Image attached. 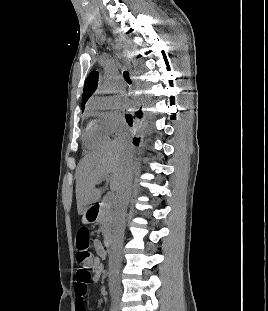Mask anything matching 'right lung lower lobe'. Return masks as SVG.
<instances>
[{"instance_id": "98d812e1", "label": "right lung lower lobe", "mask_w": 268, "mask_h": 311, "mask_svg": "<svg viewBox=\"0 0 268 311\" xmlns=\"http://www.w3.org/2000/svg\"><path fill=\"white\" fill-rule=\"evenodd\" d=\"M142 116H143L142 111L139 110V111L136 113V115H134V116H132V115H130V114H126V115H125V118H126V122L128 123V125H129V126H132L133 120H135V118L140 119V118H142ZM139 140H140L139 138H134V139H133L134 145H138V144H139Z\"/></svg>"}]
</instances>
